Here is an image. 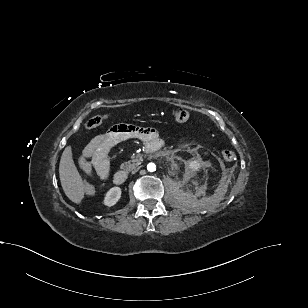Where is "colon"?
<instances>
[{"mask_svg":"<svg viewBox=\"0 0 308 308\" xmlns=\"http://www.w3.org/2000/svg\"><path fill=\"white\" fill-rule=\"evenodd\" d=\"M172 117L176 123L182 124L188 120L189 113L186 109L179 107L173 110ZM106 119H107L106 116H101V115L93 116L86 122L85 127L88 130L94 129L100 126L103 122H105ZM222 155L224 160H226L227 162L234 161L236 158V155L232 150H224ZM95 192H96L95 185L90 181L86 182L84 185L85 195L91 197L95 194Z\"/></svg>","mask_w":308,"mask_h":308,"instance_id":"5ec220e1","label":"colon"}]
</instances>
